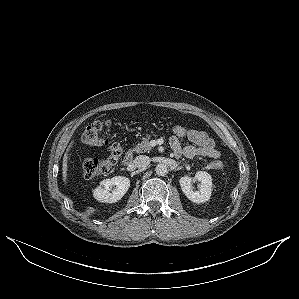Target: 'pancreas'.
I'll return each instance as SVG.
<instances>
[{
	"label": "pancreas",
	"mask_w": 299,
	"mask_h": 299,
	"mask_svg": "<svg viewBox=\"0 0 299 299\" xmlns=\"http://www.w3.org/2000/svg\"><path fill=\"white\" fill-rule=\"evenodd\" d=\"M152 149L149 138H144L141 142L134 146L132 151L136 153L149 152Z\"/></svg>",
	"instance_id": "cf45deb5"
}]
</instances>
